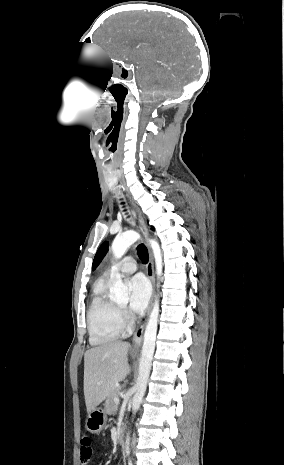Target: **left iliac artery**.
I'll use <instances>...</instances> for the list:
<instances>
[{"label":"left iliac artery","mask_w":284,"mask_h":465,"mask_svg":"<svg viewBox=\"0 0 284 465\" xmlns=\"http://www.w3.org/2000/svg\"><path fill=\"white\" fill-rule=\"evenodd\" d=\"M128 465H133V463H132V461H131V460H129V462H128Z\"/></svg>","instance_id":"44dca946"}]
</instances>
